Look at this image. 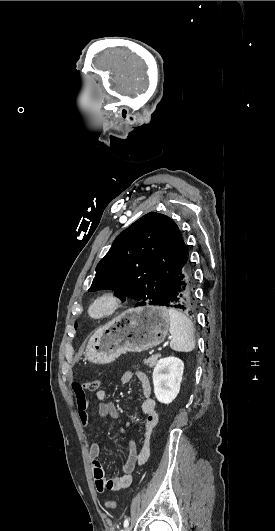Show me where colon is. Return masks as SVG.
Here are the masks:
<instances>
[{"label":"colon","mask_w":275,"mask_h":531,"mask_svg":"<svg viewBox=\"0 0 275 531\" xmlns=\"http://www.w3.org/2000/svg\"><path fill=\"white\" fill-rule=\"evenodd\" d=\"M100 379L93 378L85 381V392L95 393L99 390ZM106 508L109 510H115L117 508V501L114 499H108L105 502Z\"/></svg>","instance_id":"obj_1"}]
</instances>
